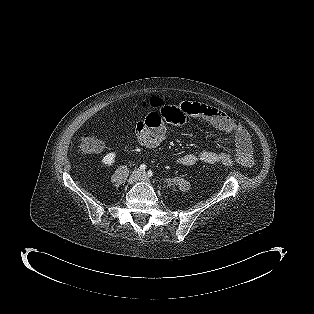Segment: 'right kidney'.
<instances>
[{
  "instance_id": "ca27d5eb",
  "label": "right kidney",
  "mask_w": 314,
  "mask_h": 314,
  "mask_svg": "<svg viewBox=\"0 0 314 314\" xmlns=\"http://www.w3.org/2000/svg\"><path fill=\"white\" fill-rule=\"evenodd\" d=\"M115 157L116 154L114 152L108 153L103 157L102 162L107 166H111L115 162Z\"/></svg>"
}]
</instances>
